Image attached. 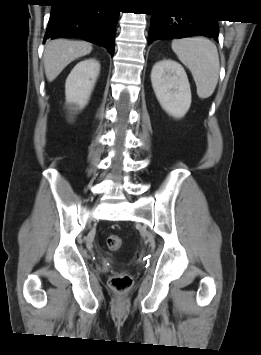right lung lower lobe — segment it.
Listing matches in <instances>:
<instances>
[{
    "instance_id": "right-lung-lower-lobe-1",
    "label": "right lung lower lobe",
    "mask_w": 261,
    "mask_h": 355,
    "mask_svg": "<svg viewBox=\"0 0 261 355\" xmlns=\"http://www.w3.org/2000/svg\"><path fill=\"white\" fill-rule=\"evenodd\" d=\"M104 0H54L44 42L51 38H81L114 53L119 12Z\"/></svg>"
}]
</instances>
